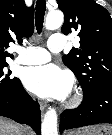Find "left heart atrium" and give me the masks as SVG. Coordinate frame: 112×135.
I'll use <instances>...</instances> for the list:
<instances>
[{
    "label": "left heart atrium",
    "mask_w": 112,
    "mask_h": 135,
    "mask_svg": "<svg viewBox=\"0 0 112 135\" xmlns=\"http://www.w3.org/2000/svg\"><path fill=\"white\" fill-rule=\"evenodd\" d=\"M24 86L42 98H65L72 88L69 73L53 64L27 67L21 75Z\"/></svg>",
    "instance_id": "39dd6f15"
}]
</instances>
